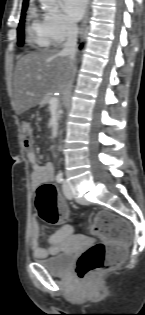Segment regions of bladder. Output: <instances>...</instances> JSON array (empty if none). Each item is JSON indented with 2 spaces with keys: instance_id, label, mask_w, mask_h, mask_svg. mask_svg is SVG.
<instances>
[{
  "instance_id": "obj_1",
  "label": "bladder",
  "mask_w": 145,
  "mask_h": 315,
  "mask_svg": "<svg viewBox=\"0 0 145 315\" xmlns=\"http://www.w3.org/2000/svg\"><path fill=\"white\" fill-rule=\"evenodd\" d=\"M83 249V248H72ZM74 256H65V251L57 255L40 260L39 263L52 275L61 276L69 271L73 264Z\"/></svg>"
}]
</instances>
